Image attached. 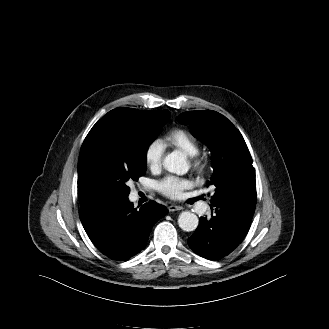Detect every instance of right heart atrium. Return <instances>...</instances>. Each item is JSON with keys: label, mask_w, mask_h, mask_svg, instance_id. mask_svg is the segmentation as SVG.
Returning a JSON list of instances; mask_svg holds the SVG:
<instances>
[{"label": "right heart atrium", "mask_w": 329, "mask_h": 329, "mask_svg": "<svg viewBox=\"0 0 329 329\" xmlns=\"http://www.w3.org/2000/svg\"><path fill=\"white\" fill-rule=\"evenodd\" d=\"M165 145L161 139L155 138L151 140L144 151V160L146 166L151 169H157L162 163Z\"/></svg>", "instance_id": "right-heart-atrium-1"}]
</instances>
